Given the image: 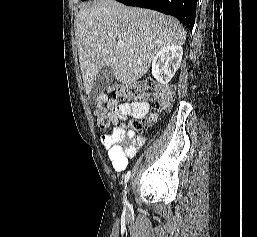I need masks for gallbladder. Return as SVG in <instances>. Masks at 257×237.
<instances>
[{
  "label": "gallbladder",
  "mask_w": 257,
  "mask_h": 237,
  "mask_svg": "<svg viewBox=\"0 0 257 237\" xmlns=\"http://www.w3.org/2000/svg\"><path fill=\"white\" fill-rule=\"evenodd\" d=\"M114 77L115 71L112 67L104 66L99 70L90 92V99L92 102H95L98 96L112 83Z\"/></svg>",
  "instance_id": "bac80fb5"
}]
</instances>
